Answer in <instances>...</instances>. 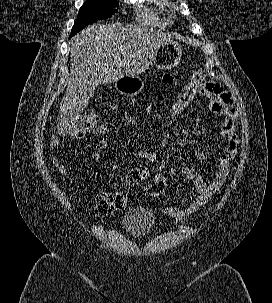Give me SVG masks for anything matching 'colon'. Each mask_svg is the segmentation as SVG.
Instances as JSON below:
<instances>
[{"mask_svg":"<svg viewBox=\"0 0 272 303\" xmlns=\"http://www.w3.org/2000/svg\"><path fill=\"white\" fill-rule=\"evenodd\" d=\"M204 80L205 73L202 70H198L192 75L191 80L177 95L169 110L168 118L171 122L177 123L181 120ZM95 130H98L100 133H104L105 126L99 123V121L94 117H86L79 120L78 130L72 132L70 135L80 136ZM62 141V138H56L54 141L55 148H57ZM104 143V140L100 139L97 141L96 147L101 148L104 146ZM54 163L60 173L66 175L67 171L57 154L54 156ZM167 187L168 184L166 178L162 174H157L154 180L145 188L144 193L149 197L161 196L165 193ZM126 203V195L121 192L103 193L96 198L95 212L99 216H107L117 210L124 208L126 206Z\"/></svg>","mask_w":272,"mask_h":303,"instance_id":"5ec220e1","label":"colon"}]
</instances>
